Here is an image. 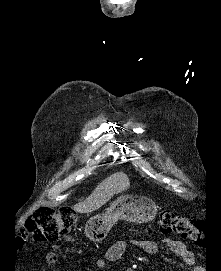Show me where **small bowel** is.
<instances>
[{"instance_id": "c3829d8e", "label": "small bowel", "mask_w": 221, "mask_h": 271, "mask_svg": "<svg viewBox=\"0 0 221 271\" xmlns=\"http://www.w3.org/2000/svg\"><path fill=\"white\" fill-rule=\"evenodd\" d=\"M160 243L171 253L180 257L185 264L192 265L194 263L193 253L185 246L182 241L172 238H164L160 241ZM128 244L139 247L147 254H155L158 251V244L153 240L135 238L129 240H120L109 247L103 256L97 260V268L100 271H103L107 262H114L119 260L124 254Z\"/></svg>"}]
</instances>
